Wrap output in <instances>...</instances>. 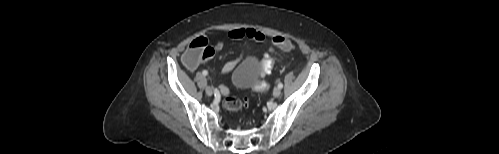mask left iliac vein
<instances>
[{"instance_id": "left-iliac-vein-1", "label": "left iliac vein", "mask_w": 499, "mask_h": 154, "mask_svg": "<svg viewBox=\"0 0 499 154\" xmlns=\"http://www.w3.org/2000/svg\"><path fill=\"white\" fill-rule=\"evenodd\" d=\"M280 95H281V89L279 87H275L273 90V96L277 98Z\"/></svg>"}]
</instances>
